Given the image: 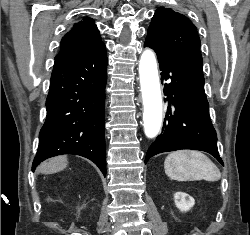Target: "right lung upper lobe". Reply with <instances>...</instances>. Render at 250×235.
Wrapping results in <instances>:
<instances>
[{"instance_id": "cb5924a9", "label": "right lung upper lobe", "mask_w": 250, "mask_h": 235, "mask_svg": "<svg viewBox=\"0 0 250 235\" xmlns=\"http://www.w3.org/2000/svg\"><path fill=\"white\" fill-rule=\"evenodd\" d=\"M102 43L94 20L85 17L82 22L75 23L72 30L62 38L55 64L80 57Z\"/></svg>"}]
</instances>
